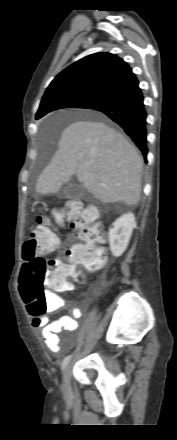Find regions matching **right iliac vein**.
Returning a JSON list of instances; mask_svg holds the SVG:
<instances>
[{
    "mask_svg": "<svg viewBox=\"0 0 177 440\" xmlns=\"http://www.w3.org/2000/svg\"><path fill=\"white\" fill-rule=\"evenodd\" d=\"M70 377H71V366L67 365L63 374V382L65 391H69L70 389Z\"/></svg>",
    "mask_w": 177,
    "mask_h": 440,
    "instance_id": "63e3f726",
    "label": "right iliac vein"
}]
</instances>
